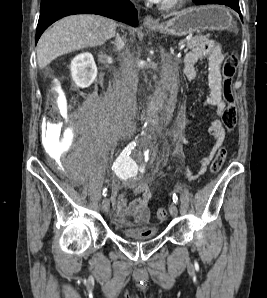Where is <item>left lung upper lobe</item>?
I'll return each instance as SVG.
<instances>
[{"mask_svg":"<svg viewBox=\"0 0 267 298\" xmlns=\"http://www.w3.org/2000/svg\"><path fill=\"white\" fill-rule=\"evenodd\" d=\"M200 1V0H193V2Z\"/></svg>","mask_w":267,"mask_h":298,"instance_id":"left-lung-upper-lobe-1","label":"left lung upper lobe"}]
</instances>
